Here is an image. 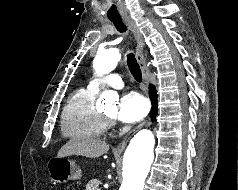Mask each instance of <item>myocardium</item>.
I'll return each mask as SVG.
<instances>
[{"label":"myocardium","mask_w":238,"mask_h":190,"mask_svg":"<svg viewBox=\"0 0 238 190\" xmlns=\"http://www.w3.org/2000/svg\"><path fill=\"white\" fill-rule=\"evenodd\" d=\"M101 117L107 126H112L114 124V117L108 116L105 113H101Z\"/></svg>","instance_id":"myocardium-1"}]
</instances>
